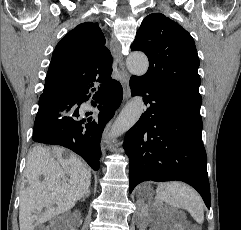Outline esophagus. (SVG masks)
<instances>
[{
  "label": "esophagus",
  "instance_id": "esophagus-1",
  "mask_svg": "<svg viewBox=\"0 0 241 230\" xmlns=\"http://www.w3.org/2000/svg\"><path fill=\"white\" fill-rule=\"evenodd\" d=\"M110 51H111L115 61L117 62L119 68L121 69V71L123 73V78L121 79L120 82H121V85L123 88L124 100L126 101L129 99L130 94H131L130 85H129L130 77L124 67V60H123V56L121 54V47L115 39H112L110 41Z\"/></svg>",
  "mask_w": 241,
  "mask_h": 230
}]
</instances>
